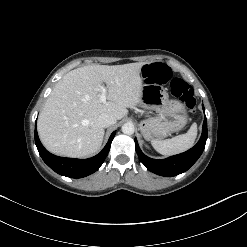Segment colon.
Segmentation results:
<instances>
[{
  "label": "colon",
  "instance_id": "colon-1",
  "mask_svg": "<svg viewBox=\"0 0 247 247\" xmlns=\"http://www.w3.org/2000/svg\"><path fill=\"white\" fill-rule=\"evenodd\" d=\"M142 77L149 83L170 84L172 94L179 98L189 111H194L196 98L191 86L180 78H173L171 69L161 63H152L142 68Z\"/></svg>",
  "mask_w": 247,
  "mask_h": 247
}]
</instances>
